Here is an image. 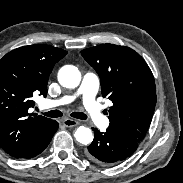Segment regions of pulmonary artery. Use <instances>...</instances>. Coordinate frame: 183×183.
Masks as SVG:
<instances>
[{
	"instance_id": "e3ab8cb5",
	"label": "pulmonary artery",
	"mask_w": 183,
	"mask_h": 183,
	"mask_svg": "<svg viewBox=\"0 0 183 183\" xmlns=\"http://www.w3.org/2000/svg\"><path fill=\"white\" fill-rule=\"evenodd\" d=\"M99 88V79L93 73L84 75L81 85L77 92L72 96H64L56 100H45L43 106L54 108L72 102L76 96H81L83 105L90 117L91 121L97 126H102L107 123L105 116L102 113V106L96 100V94Z\"/></svg>"
}]
</instances>
